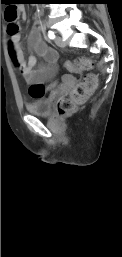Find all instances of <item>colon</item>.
I'll return each instance as SVG.
<instances>
[{
  "label": "colon",
  "instance_id": "1",
  "mask_svg": "<svg viewBox=\"0 0 122 257\" xmlns=\"http://www.w3.org/2000/svg\"><path fill=\"white\" fill-rule=\"evenodd\" d=\"M5 19L8 23L9 34L18 31V5H4ZM62 74L68 75L69 71L81 73L92 67V62L87 58H78L72 61H66ZM69 70V71H68ZM61 79H52L51 82H35L27 86L28 98H48L51 90H54L55 84H61ZM98 85V79L95 75H87L70 93L68 97L62 98L57 104L58 113L61 115L72 112L76 106L84 103L95 91Z\"/></svg>",
  "mask_w": 122,
  "mask_h": 257
}]
</instances>
